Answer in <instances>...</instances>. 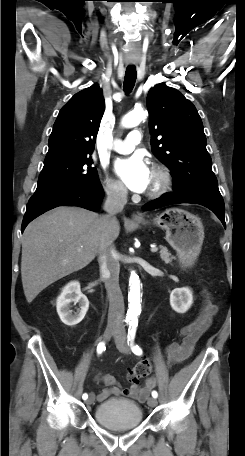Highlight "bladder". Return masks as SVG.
Returning <instances> with one entry per match:
<instances>
[{
    "label": "bladder",
    "mask_w": 245,
    "mask_h": 456,
    "mask_svg": "<svg viewBox=\"0 0 245 456\" xmlns=\"http://www.w3.org/2000/svg\"><path fill=\"white\" fill-rule=\"evenodd\" d=\"M95 420L112 430H129L142 422L141 407L130 400L111 398L100 403L94 411Z\"/></svg>",
    "instance_id": "obj_1"
}]
</instances>
